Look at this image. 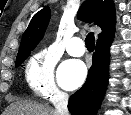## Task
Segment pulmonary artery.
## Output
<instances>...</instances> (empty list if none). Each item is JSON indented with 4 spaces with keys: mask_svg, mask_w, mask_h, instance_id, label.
I'll return each mask as SVG.
<instances>
[{
    "mask_svg": "<svg viewBox=\"0 0 131 115\" xmlns=\"http://www.w3.org/2000/svg\"><path fill=\"white\" fill-rule=\"evenodd\" d=\"M67 52L71 56H76V57L82 56L85 52V46L83 40L77 36L71 38L67 44Z\"/></svg>",
    "mask_w": 131,
    "mask_h": 115,
    "instance_id": "obj_1",
    "label": "pulmonary artery"
}]
</instances>
